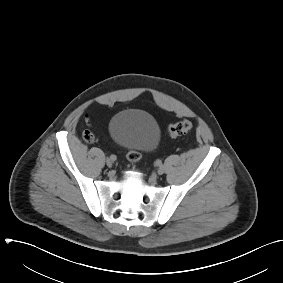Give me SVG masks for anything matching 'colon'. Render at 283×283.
Here are the masks:
<instances>
[{"label":"colon","mask_w":283,"mask_h":283,"mask_svg":"<svg viewBox=\"0 0 283 283\" xmlns=\"http://www.w3.org/2000/svg\"><path fill=\"white\" fill-rule=\"evenodd\" d=\"M193 129V124L189 120H181L176 123L170 124L167 127V134L171 137H176L179 135L187 134L191 132ZM84 139L88 142H91L93 140V135L90 132L84 133ZM127 158L131 163H138L141 155L138 151H132L130 150L127 153Z\"/></svg>","instance_id":"obj_1"}]
</instances>
